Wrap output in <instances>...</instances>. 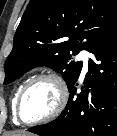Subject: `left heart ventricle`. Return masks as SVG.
<instances>
[{
    "mask_svg": "<svg viewBox=\"0 0 117 136\" xmlns=\"http://www.w3.org/2000/svg\"><path fill=\"white\" fill-rule=\"evenodd\" d=\"M58 101V92L50 81H41L35 84L25 94L20 114L23 120L32 121L50 114Z\"/></svg>",
    "mask_w": 117,
    "mask_h": 136,
    "instance_id": "1",
    "label": "left heart ventricle"
}]
</instances>
